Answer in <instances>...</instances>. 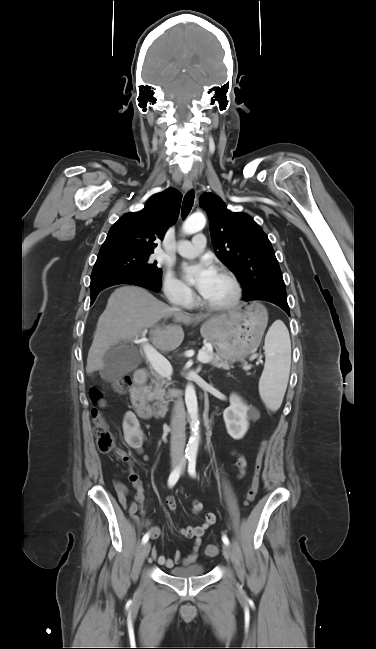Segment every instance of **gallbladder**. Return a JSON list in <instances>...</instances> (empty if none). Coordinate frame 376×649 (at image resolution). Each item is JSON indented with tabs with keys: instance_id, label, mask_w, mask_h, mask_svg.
Wrapping results in <instances>:
<instances>
[{
	"instance_id": "gallbladder-1",
	"label": "gallbladder",
	"mask_w": 376,
	"mask_h": 649,
	"mask_svg": "<svg viewBox=\"0 0 376 649\" xmlns=\"http://www.w3.org/2000/svg\"><path fill=\"white\" fill-rule=\"evenodd\" d=\"M139 354L132 347L112 346L103 356L104 366L100 369L103 380L112 381L137 367Z\"/></svg>"
}]
</instances>
